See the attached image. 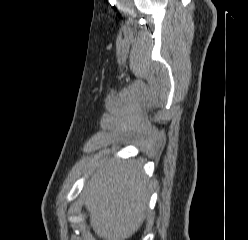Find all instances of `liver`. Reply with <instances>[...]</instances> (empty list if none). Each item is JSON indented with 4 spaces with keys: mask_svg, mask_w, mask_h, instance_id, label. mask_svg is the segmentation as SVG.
<instances>
[{
    "mask_svg": "<svg viewBox=\"0 0 248 240\" xmlns=\"http://www.w3.org/2000/svg\"><path fill=\"white\" fill-rule=\"evenodd\" d=\"M149 185L140 161L109 158L93 168L84 205L95 233L104 240H125L141 227Z\"/></svg>",
    "mask_w": 248,
    "mask_h": 240,
    "instance_id": "liver-1",
    "label": "liver"
}]
</instances>
